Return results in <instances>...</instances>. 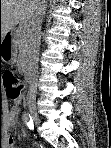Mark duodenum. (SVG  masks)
<instances>
[{
	"label": "duodenum",
	"instance_id": "1",
	"mask_svg": "<svg viewBox=\"0 0 111 148\" xmlns=\"http://www.w3.org/2000/svg\"><path fill=\"white\" fill-rule=\"evenodd\" d=\"M26 81H27V83H32L34 81V76L33 75H27Z\"/></svg>",
	"mask_w": 111,
	"mask_h": 148
}]
</instances>
